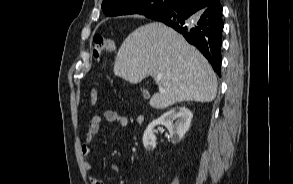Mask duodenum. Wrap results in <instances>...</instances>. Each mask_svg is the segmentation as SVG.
Instances as JSON below:
<instances>
[{
    "label": "duodenum",
    "instance_id": "obj_1",
    "mask_svg": "<svg viewBox=\"0 0 293 184\" xmlns=\"http://www.w3.org/2000/svg\"><path fill=\"white\" fill-rule=\"evenodd\" d=\"M138 121L141 123L143 121V117H139Z\"/></svg>",
    "mask_w": 293,
    "mask_h": 184
}]
</instances>
